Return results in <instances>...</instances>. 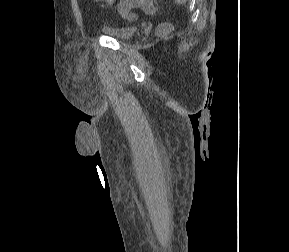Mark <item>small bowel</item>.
Returning a JSON list of instances; mask_svg holds the SVG:
<instances>
[{
    "mask_svg": "<svg viewBox=\"0 0 289 252\" xmlns=\"http://www.w3.org/2000/svg\"><path fill=\"white\" fill-rule=\"evenodd\" d=\"M94 1L104 3L105 5H108V6L112 5L115 2V0H94Z\"/></svg>",
    "mask_w": 289,
    "mask_h": 252,
    "instance_id": "1",
    "label": "small bowel"
}]
</instances>
